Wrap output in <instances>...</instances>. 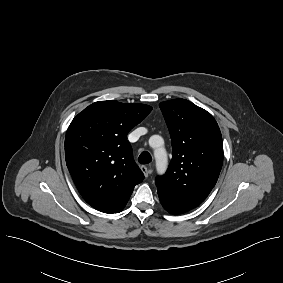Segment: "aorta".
Wrapping results in <instances>:
<instances>
[{
	"instance_id": "obj_1",
	"label": "aorta",
	"mask_w": 283,
	"mask_h": 283,
	"mask_svg": "<svg viewBox=\"0 0 283 283\" xmlns=\"http://www.w3.org/2000/svg\"><path fill=\"white\" fill-rule=\"evenodd\" d=\"M163 139L159 135L150 138V145L155 148L154 156L156 160V168L158 173L163 174L167 168V154L163 148Z\"/></svg>"
}]
</instances>
